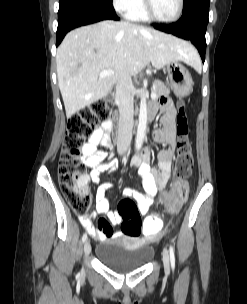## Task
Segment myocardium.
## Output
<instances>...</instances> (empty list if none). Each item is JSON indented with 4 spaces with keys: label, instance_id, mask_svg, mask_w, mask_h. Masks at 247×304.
<instances>
[{
    "label": "myocardium",
    "instance_id": "f54148a6",
    "mask_svg": "<svg viewBox=\"0 0 247 304\" xmlns=\"http://www.w3.org/2000/svg\"><path fill=\"white\" fill-rule=\"evenodd\" d=\"M143 6H144V11L146 16L148 17V19L154 21V22H158V23H162V24H172L175 23L176 21L179 20V18L182 15L183 9H184V0H178V9L176 14L170 18V19H160L158 18L151 7V3L150 0H143Z\"/></svg>",
    "mask_w": 247,
    "mask_h": 304
}]
</instances>
